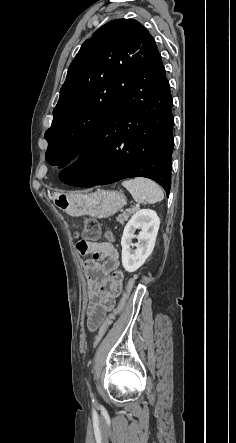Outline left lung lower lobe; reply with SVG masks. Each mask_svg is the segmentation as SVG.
I'll use <instances>...</instances> for the list:
<instances>
[{
    "instance_id": "0a47b994",
    "label": "left lung lower lobe",
    "mask_w": 236,
    "mask_h": 443,
    "mask_svg": "<svg viewBox=\"0 0 236 443\" xmlns=\"http://www.w3.org/2000/svg\"><path fill=\"white\" fill-rule=\"evenodd\" d=\"M170 85L158 49L119 103L82 149L78 162L60 172L68 185L93 187L142 176L171 187L173 115Z\"/></svg>"
}]
</instances>
